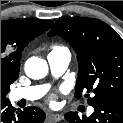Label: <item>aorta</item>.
<instances>
[{
  "label": "aorta",
  "mask_w": 123,
  "mask_h": 123,
  "mask_svg": "<svg viewBox=\"0 0 123 123\" xmlns=\"http://www.w3.org/2000/svg\"><path fill=\"white\" fill-rule=\"evenodd\" d=\"M25 73L31 79H42L48 74V64L44 59L31 57L25 63Z\"/></svg>",
  "instance_id": "aorta-1"
}]
</instances>
